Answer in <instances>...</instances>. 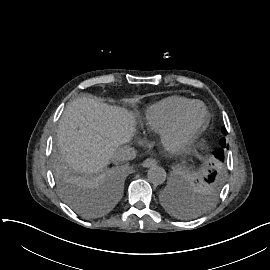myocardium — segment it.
<instances>
[{
  "mask_svg": "<svg viewBox=\"0 0 270 270\" xmlns=\"http://www.w3.org/2000/svg\"><path fill=\"white\" fill-rule=\"evenodd\" d=\"M201 107L204 111L203 120L190 128L186 127V121L190 112L196 108ZM210 114L207 107L202 102H195L185 110H183L180 115L162 132L160 133V138L162 140H168L169 138L175 136L177 140L173 143L176 151H185L188 149L197 137L205 130L209 123Z\"/></svg>",
  "mask_w": 270,
  "mask_h": 270,
  "instance_id": "f54148a6",
  "label": "myocardium"
}]
</instances>
